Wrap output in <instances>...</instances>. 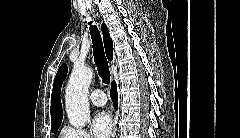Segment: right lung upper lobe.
<instances>
[{"instance_id": "right-lung-upper-lobe-1", "label": "right lung upper lobe", "mask_w": 240, "mask_h": 138, "mask_svg": "<svg viewBox=\"0 0 240 138\" xmlns=\"http://www.w3.org/2000/svg\"><path fill=\"white\" fill-rule=\"evenodd\" d=\"M103 34L104 47L108 60L113 58V42L110 38L107 26L103 23L101 25ZM67 75V66L62 64L59 68L53 84L52 96H51V124L52 126L60 125L62 122V105L60 100L61 85Z\"/></svg>"}]
</instances>
